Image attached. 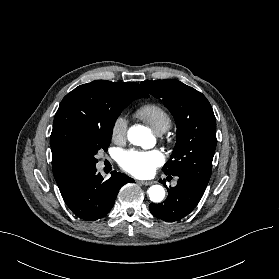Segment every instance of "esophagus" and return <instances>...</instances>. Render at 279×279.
Masks as SVG:
<instances>
[{"label":"esophagus","mask_w":279,"mask_h":279,"mask_svg":"<svg viewBox=\"0 0 279 279\" xmlns=\"http://www.w3.org/2000/svg\"><path fill=\"white\" fill-rule=\"evenodd\" d=\"M139 183L142 184V185L148 186V185L153 184L154 182L153 181H139Z\"/></svg>","instance_id":"esophagus-1"}]
</instances>
